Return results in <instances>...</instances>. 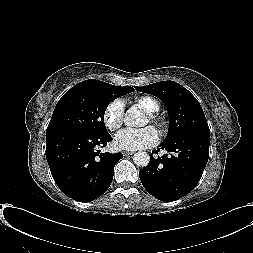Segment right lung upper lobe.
Instances as JSON below:
<instances>
[{
	"label": "right lung upper lobe",
	"mask_w": 253,
	"mask_h": 253,
	"mask_svg": "<svg viewBox=\"0 0 253 253\" xmlns=\"http://www.w3.org/2000/svg\"><path fill=\"white\" fill-rule=\"evenodd\" d=\"M83 82H85V83H105V82L95 80V79H89V80H85Z\"/></svg>",
	"instance_id": "1"
}]
</instances>
